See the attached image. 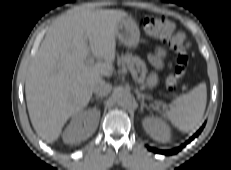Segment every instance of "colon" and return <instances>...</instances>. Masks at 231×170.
I'll return each instance as SVG.
<instances>
[{
    "mask_svg": "<svg viewBox=\"0 0 231 170\" xmlns=\"http://www.w3.org/2000/svg\"><path fill=\"white\" fill-rule=\"evenodd\" d=\"M140 27L146 34L166 41L178 53L174 71L164 78L166 87L171 90L175 89L179 85L188 63V44L184 35L176 30L173 23L159 17H143L140 20Z\"/></svg>",
    "mask_w": 231,
    "mask_h": 170,
    "instance_id": "5ec220e1",
    "label": "colon"
}]
</instances>
